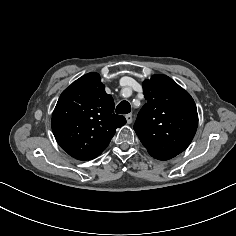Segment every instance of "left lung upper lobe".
Wrapping results in <instances>:
<instances>
[{
  "label": "left lung upper lobe",
  "instance_id": "left-lung-upper-lobe-1",
  "mask_svg": "<svg viewBox=\"0 0 236 236\" xmlns=\"http://www.w3.org/2000/svg\"><path fill=\"white\" fill-rule=\"evenodd\" d=\"M147 103L138 113L134 130L149 154L175 157L191 143L198 126L190 94L166 75L143 82Z\"/></svg>",
  "mask_w": 236,
  "mask_h": 236
}]
</instances>
